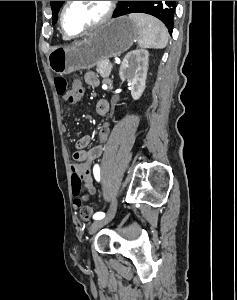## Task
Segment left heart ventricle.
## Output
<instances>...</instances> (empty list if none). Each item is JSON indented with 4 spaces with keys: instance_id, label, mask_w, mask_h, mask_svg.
Instances as JSON below:
<instances>
[{
    "instance_id": "obj_1",
    "label": "left heart ventricle",
    "mask_w": 237,
    "mask_h": 300,
    "mask_svg": "<svg viewBox=\"0 0 237 300\" xmlns=\"http://www.w3.org/2000/svg\"><path fill=\"white\" fill-rule=\"evenodd\" d=\"M106 11V1H72L64 16L69 34H77L98 21Z\"/></svg>"
}]
</instances>
